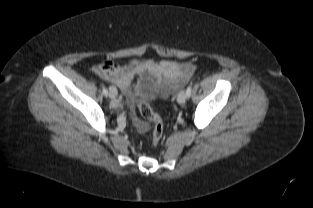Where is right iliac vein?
<instances>
[{"mask_svg":"<svg viewBox=\"0 0 313 208\" xmlns=\"http://www.w3.org/2000/svg\"><path fill=\"white\" fill-rule=\"evenodd\" d=\"M117 89L114 86L109 87V97L113 100L117 97ZM116 102V101H115Z\"/></svg>","mask_w":313,"mask_h":208,"instance_id":"right-iliac-vein-1","label":"right iliac vein"}]
</instances>
